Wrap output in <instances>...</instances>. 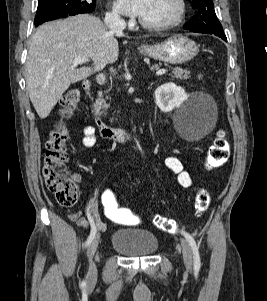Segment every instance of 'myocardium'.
<instances>
[{
	"mask_svg": "<svg viewBox=\"0 0 267 301\" xmlns=\"http://www.w3.org/2000/svg\"><path fill=\"white\" fill-rule=\"evenodd\" d=\"M176 4H177V12L171 20L166 22H161V23H151V22L144 21L143 19L140 18L139 24L144 28L150 30H160V31L168 30L176 27L185 18L186 10H187L185 0H176Z\"/></svg>",
	"mask_w": 267,
	"mask_h": 301,
	"instance_id": "f54148a6",
	"label": "myocardium"
}]
</instances>
